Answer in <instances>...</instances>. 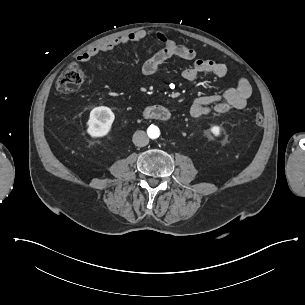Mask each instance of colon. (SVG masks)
<instances>
[{"mask_svg":"<svg viewBox=\"0 0 305 305\" xmlns=\"http://www.w3.org/2000/svg\"><path fill=\"white\" fill-rule=\"evenodd\" d=\"M84 77L81 72L76 67H70L66 69L63 74L56 81V91L65 94L76 90L83 82ZM255 123L257 125H262L264 123V118L260 113L255 115Z\"/></svg>","mask_w":305,"mask_h":305,"instance_id":"5ec220e1","label":"colon"}]
</instances>
